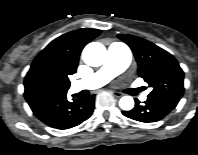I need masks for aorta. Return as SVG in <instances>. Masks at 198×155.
Masks as SVG:
<instances>
[{
	"label": "aorta",
	"instance_id": "obj_1",
	"mask_svg": "<svg viewBox=\"0 0 198 155\" xmlns=\"http://www.w3.org/2000/svg\"><path fill=\"white\" fill-rule=\"evenodd\" d=\"M107 51L103 44L91 42L85 46L82 52L84 62L92 67L101 66L106 60ZM122 110L129 111L134 107V99L131 96H123L119 101Z\"/></svg>",
	"mask_w": 198,
	"mask_h": 155
}]
</instances>
